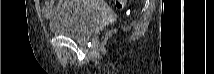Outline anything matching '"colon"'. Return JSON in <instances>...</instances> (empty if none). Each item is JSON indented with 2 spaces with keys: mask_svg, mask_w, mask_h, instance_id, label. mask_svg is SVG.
I'll return each mask as SVG.
<instances>
[{
  "mask_svg": "<svg viewBox=\"0 0 214 74\" xmlns=\"http://www.w3.org/2000/svg\"><path fill=\"white\" fill-rule=\"evenodd\" d=\"M127 3V0H116L115 4L117 6V8H123Z\"/></svg>",
  "mask_w": 214,
  "mask_h": 74,
  "instance_id": "colon-1",
  "label": "colon"
}]
</instances>
